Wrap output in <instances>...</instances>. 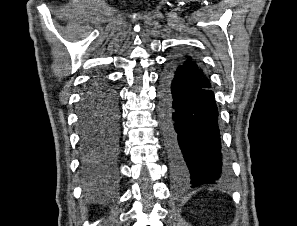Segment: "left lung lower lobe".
I'll use <instances>...</instances> for the list:
<instances>
[{
	"mask_svg": "<svg viewBox=\"0 0 297 226\" xmlns=\"http://www.w3.org/2000/svg\"><path fill=\"white\" fill-rule=\"evenodd\" d=\"M169 60L162 74L160 115L172 176L182 186L222 182L227 161L221 151L218 110L208 88H194Z\"/></svg>",
	"mask_w": 297,
	"mask_h": 226,
	"instance_id": "obj_1",
	"label": "left lung lower lobe"
}]
</instances>
